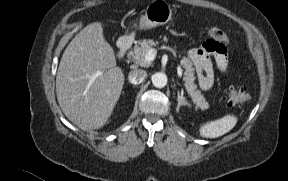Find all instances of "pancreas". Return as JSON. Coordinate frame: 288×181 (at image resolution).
Instances as JSON below:
<instances>
[{
  "label": "pancreas",
  "mask_w": 288,
  "mask_h": 181,
  "mask_svg": "<svg viewBox=\"0 0 288 181\" xmlns=\"http://www.w3.org/2000/svg\"><path fill=\"white\" fill-rule=\"evenodd\" d=\"M159 42H155L152 39H144L138 41V44L135 45L133 49V54L138 63L141 65H146L145 56L150 49L157 46ZM181 65L185 69L183 80L185 82V88L188 92V95L191 97L192 102L195 104L196 108L207 109L209 107V103L206 101L205 97L202 95L201 91L197 89V85L195 84V76H194V67L192 62L188 57H183L181 59Z\"/></svg>",
  "instance_id": "pancreas-1"
}]
</instances>
